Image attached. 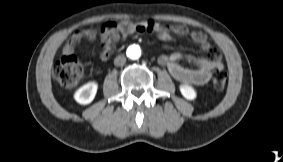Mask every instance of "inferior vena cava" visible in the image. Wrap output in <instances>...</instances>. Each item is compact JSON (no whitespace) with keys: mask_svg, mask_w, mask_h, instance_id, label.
Masks as SVG:
<instances>
[{"mask_svg":"<svg viewBox=\"0 0 283 162\" xmlns=\"http://www.w3.org/2000/svg\"><path fill=\"white\" fill-rule=\"evenodd\" d=\"M126 62V57L124 55H118L115 59H114V65L115 66H122L124 65Z\"/></svg>","mask_w":283,"mask_h":162,"instance_id":"602c4592","label":"inferior vena cava"}]
</instances>
